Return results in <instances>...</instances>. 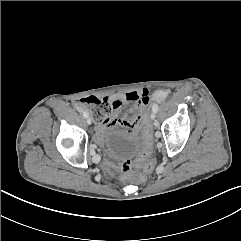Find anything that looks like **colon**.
Returning a JSON list of instances; mask_svg holds the SVG:
<instances>
[{"mask_svg": "<svg viewBox=\"0 0 241 241\" xmlns=\"http://www.w3.org/2000/svg\"><path fill=\"white\" fill-rule=\"evenodd\" d=\"M78 105L80 109L88 111L92 118L99 123L110 120L115 108L109 100L100 99L95 96H88L80 99ZM151 133L152 128L150 126H145L141 137V147L144 149L141 156L134 157L131 161L124 160L120 164V169L124 174L125 180L133 183H142L145 181V175L142 172H146V174L150 176L155 174L156 170L150 159L149 150ZM132 167L138 168V170L132 171Z\"/></svg>", "mask_w": 241, "mask_h": 241, "instance_id": "obj_1", "label": "colon"}]
</instances>
